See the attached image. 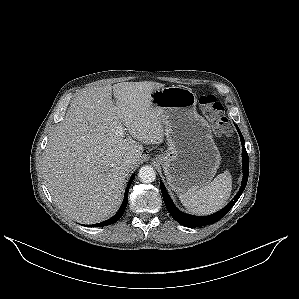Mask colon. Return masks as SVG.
Masks as SVG:
<instances>
[{
    "mask_svg": "<svg viewBox=\"0 0 299 299\" xmlns=\"http://www.w3.org/2000/svg\"><path fill=\"white\" fill-rule=\"evenodd\" d=\"M199 106L206 118L210 121L214 133L218 136H227L231 127L224 113L223 105L213 94H204L199 97Z\"/></svg>",
    "mask_w": 299,
    "mask_h": 299,
    "instance_id": "1",
    "label": "colon"
}]
</instances>
